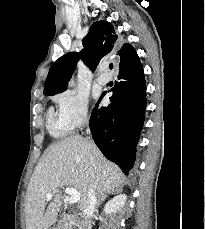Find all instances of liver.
<instances>
[{
  "instance_id": "6515ba94",
  "label": "liver",
  "mask_w": 205,
  "mask_h": 229,
  "mask_svg": "<svg viewBox=\"0 0 205 229\" xmlns=\"http://www.w3.org/2000/svg\"><path fill=\"white\" fill-rule=\"evenodd\" d=\"M123 183L120 168L108 161L90 139L70 136L54 143L44 152L27 188L26 229H50L62 207L60 188L64 186L80 193L78 205L83 209L91 184L101 196L122 188ZM48 193L53 194L50 201L46 197Z\"/></svg>"
}]
</instances>
